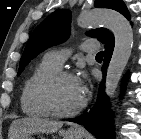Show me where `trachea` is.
<instances>
[{"instance_id":"1","label":"trachea","mask_w":141,"mask_h":139,"mask_svg":"<svg viewBox=\"0 0 141 139\" xmlns=\"http://www.w3.org/2000/svg\"><path fill=\"white\" fill-rule=\"evenodd\" d=\"M103 51H101V52H99V53H97V55H96V57L97 58H103Z\"/></svg>"}]
</instances>
